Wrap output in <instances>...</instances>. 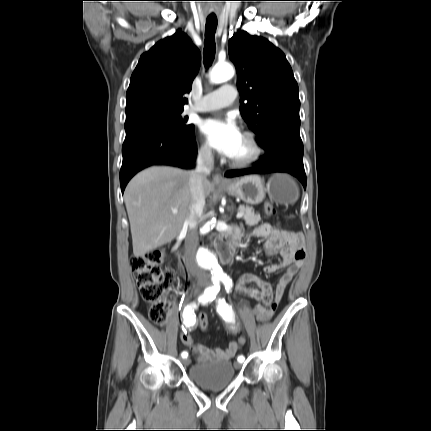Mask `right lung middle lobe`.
<instances>
[{"label":"right lung middle lobe","mask_w":431,"mask_h":431,"mask_svg":"<svg viewBox=\"0 0 431 431\" xmlns=\"http://www.w3.org/2000/svg\"><path fill=\"white\" fill-rule=\"evenodd\" d=\"M179 111L156 112L125 121V131L130 133L142 128L161 126L173 131L189 133L194 130L193 124L187 123Z\"/></svg>","instance_id":"right-lung-middle-lobe-1"}]
</instances>
